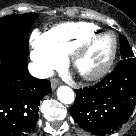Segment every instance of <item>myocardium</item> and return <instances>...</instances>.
I'll return each mask as SVG.
<instances>
[{"instance_id": "f54148a6", "label": "myocardium", "mask_w": 136, "mask_h": 136, "mask_svg": "<svg viewBox=\"0 0 136 136\" xmlns=\"http://www.w3.org/2000/svg\"><path fill=\"white\" fill-rule=\"evenodd\" d=\"M103 34H110L113 38V47L108 59L99 68L92 72H81L78 69V62L88 51L93 42ZM118 52V39L116 34L111 30H99L87 36L71 53L70 65L73 70L84 80L95 81L104 77L113 66Z\"/></svg>"}]
</instances>
